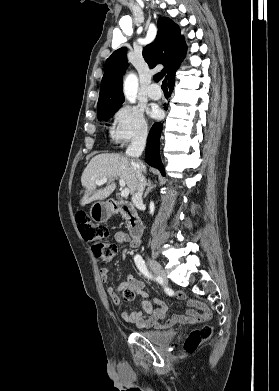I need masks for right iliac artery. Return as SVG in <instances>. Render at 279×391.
Masks as SVG:
<instances>
[{
	"label": "right iliac artery",
	"mask_w": 279,
	"mask_h": 391,
	"mask_svg": "<svg viewBox=\"0 0 279 391\" xmlns=\"http://www.w3.org/2000/svg\"><path fill=\"white\" fill-rule=\"evenodd\" d=\"M134 261H135V264H136L137 268L140 270V272H141L144 276H146V277L149 278V279H154V276H153L152 273L148 270L147 266L145 265L144 260L142 259V257H141L139 254L135 255Z\"/></svg>",
	"instance_id": "1"
}]
</instances>
